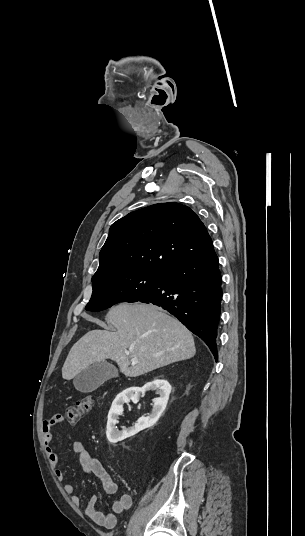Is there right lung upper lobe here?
I'll use <instances>...</instances> for the list:
<instances>
[{
    "mask_svg": "<svg viewBox=\"0 0 305 536\" xmlns=\"http://www.w3.org/2000/svg\"><path fill=\"white\" fill-rule=\"evenodd\" d=\"M213 249L206 227L189 207L178 203L151 205L110 227L92 281L135 271L168 272Z\"/></svg>",
    "mask_w": 305,
    "mask_h": 536,
    "instance_id": "right-lung-upper-lobe-1",
    "label": "right lung upper lobe"
}]
</instances>
